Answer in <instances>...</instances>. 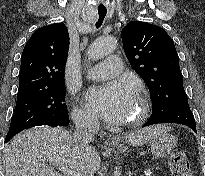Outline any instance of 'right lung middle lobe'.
<instances>
[{
	"label": "right lung middle lobe",
	"instance_id": "obj_1",
	"mask_svg": "<svg viewBox=\"0 0 205 176\" xmlns=\"http://www.w3.org/2000/svg\"><path fill=\"white\" fill-rule=\"evenodd\" d=\"M64 100L65 84L18 94L5 141L30 127L48 124L67 125L69 117Z\"/></svg>",
	"mask_w": 205,
	"mask_h": 176
}]
</instances>
